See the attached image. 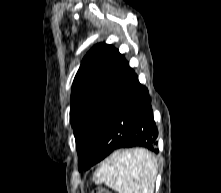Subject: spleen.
I'll return each mask as SVG.
<instances>
[{
	"label": "spleen",
	"mask_w": 221,
	"mask_h": 193,
	"mask_svg": "<svg viewBox=\"0 0 221 193\" xmlns=\"http://www.w3.org/2000/svg\"><path fill=\"white\" fill-rule=\"evenodd\" d=\"M157 175L155 157L136 148L115 151L94 173L95 184H105L118 193H153Z\"/></svg>",
	"instance_id": "spleen-1"
}]
</instances>
